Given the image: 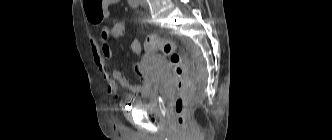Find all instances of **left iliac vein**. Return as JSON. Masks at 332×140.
<instances>
[{"mask_svg":"<svg viewBox=\"0 0 332 140\" xmlns=\"http://www.w3.org/2000/svg\"><path fill=\"white\" fill-rule=\"evenodd\" d=\"M140 4H141V6H145L146 4H145V0H140Z\"/></svg>","mask_w":332,"mask_h":140,"instance_id":"4c4485c4","label":"left iliac vein"}]
</instances>
